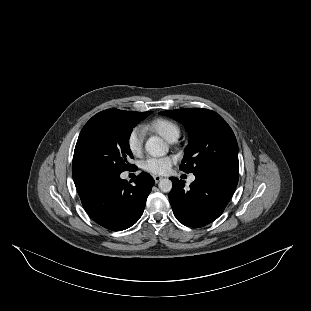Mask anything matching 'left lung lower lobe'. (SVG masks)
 <instances>
[{
    "label": "left lung lower lobe",
    "instance_id": "left-lung-lower-lobe-1",
    "mask_svg": "<svg viewBox=\"0 0 311 311\" xmlns=\"http://www.w3.org/2000/svg\"><path fill=\"white\" fill-rule=\"evenodd\" d=\"M173 182L169 201L175 217L189 227H203L217 219L230 201L239 179V170L219 168L195 174L190 189L183 182Z\"/></svg>",
    "mask_w": 311,
    "mask_h": 311
}]
</instances>
